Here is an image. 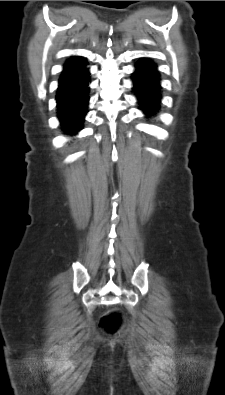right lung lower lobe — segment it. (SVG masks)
<instances>
[{
	"label": "right lung lower lobe",
	"mask_w": 225,
	"mask_h": 395,
	"mask_svg": "<svg viewBox=\"0 0 225 395\" xmlns=\"http://www.w3.org/2000/svg\"><path fill=\"white\" fill-rule=\"evenodd\" d=\"M87 63L64 68L57 89L56 101L61 127L74 135L82 129L89 104L90 73Z\"/></svg>",
	"instance_id": "98d812e1"
}]
</instances>
